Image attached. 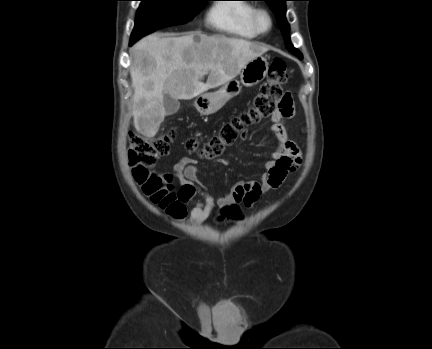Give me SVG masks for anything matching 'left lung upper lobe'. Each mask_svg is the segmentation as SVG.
Listing matches in <instances>:
<instances>
[{"instance_id":"obj_1","label":"left lung upper lobe","mask_w":432,"mask_h":349,"mask_svg":"<svg viewBox=\"0 0 432 349\" xmlns=\"http://www.w3.org/2000/svg\"><path fill=\"white\" fill-rule=\"evenodd\" d=\"M265 1L270 8L272 9V11L275 13L276 15V19L278 22V25L281 29V32L284 36V41L286 44L287 49L294 55H296L299 59H302V53L293 47V45L290 42V36L288 35L289 32V25L286 21L285 18V1L288 0H262Z\"/></svg>"}]
</instances>
